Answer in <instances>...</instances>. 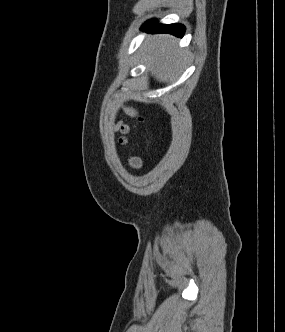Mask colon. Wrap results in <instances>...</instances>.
I'll use <instances>...</instances> for the list:
<instances>
[{
    "mask_svg": "<svg viewBox=\"0 0 285 332\" xmlns=\"http://www.w3.org/2000/svg\"><path fill=\"white\" fill-rule=\"evenodd\" d=\"M119 130L121 132V137H120V143L125 144L127 139H126V134L129 132V126L127 124H122L119 127ZM130 166L132 168H139L141 166V160L139 158H132L130 160Z\"/></svg>",
    "mask_w": 285,
    "mask_h": 332,
    "instance_id": "5ec220e1",
    "label": "colon"
}]
</instances>
